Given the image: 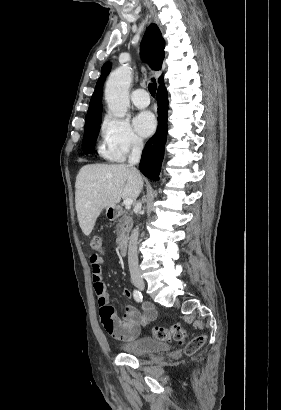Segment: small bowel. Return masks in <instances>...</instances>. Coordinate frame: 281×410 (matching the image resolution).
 <instances>
[{
    "label": "small bowel",
    "instance_id": "1",
    "mask_svg": "<svg viewBox=\"0 0 281 410\" xmlns=\"http://www.w3.org/2000/svg\"><path fill=\"white\" fill-rule=\"evenodd\" d=\"M92 278L94 291L97 297V304L100 307V314L102 323H104L105 317L102 315L103 310H112L113 314L110 317L112 322L111 330L107 332L117 340L133 341L135 340L142 327L147 326L149 323L156 319L157 313L155 308L150 304L143 306V313L138 311L132 306L125 308L123 318H119L115 315L114 308L109 305V296L107 293L106 285L102 280V264L103 259L97 254H93L90 257ZM123 296L130 298L132 296L131 290L123 289Z\"/></svg>",
    "mask_w": 281,
    "mask_h": 410
}]
</instances>
